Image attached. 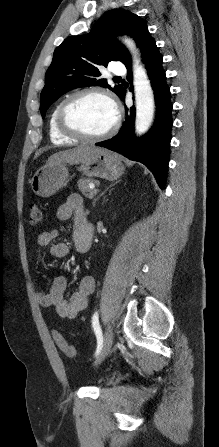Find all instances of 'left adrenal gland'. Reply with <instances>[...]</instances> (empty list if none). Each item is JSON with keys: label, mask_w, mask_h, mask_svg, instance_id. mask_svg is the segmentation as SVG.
<instances>
[{"label": "left adrenal gland", "mask_w": 219, "mask_h": 447, "mask_svg": "<svg viewBox=\"0 0 219 447\" xmlns=\"http://www.w3.org/2000/svg\"><path fill=\"white\" fill-rule=\"evenodd\" d=\"M119 182H120V180L117 181V182H115L114 184H111L109 187H107V188L104 190V192H102V193L100 194L99 197H97L96 199H94L93 206H95L96 201H97L101 196H103V195L109 190V188L115 186V185H116L117 183H119Z\"/></svg>", "instance_id": "left-adrenal-gland-1"}]
</instances>
